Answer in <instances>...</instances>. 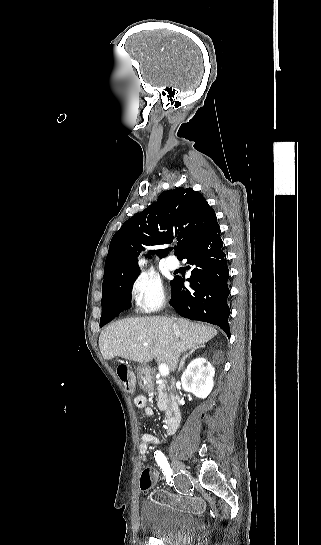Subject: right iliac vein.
<instances>
[{
	"label": "right iliac vein",
	"instance_id": "obj_1",
	"mask_svg": "<svg viewBox=\"0 0 321 545\" xmlns=\"http://www.w3.org/2000/svg\"><path fill=\"white\" fill-rule=\"evenodd\" d=\"M172 466H173V469L176 470V471H181L183 473L186 472L185 470V467L184 465L182 464V462H180L178 459L176 458H173L172 460Z\"/></svg>",
	"mask_w": 321,
	"mask_h": 545
}]
</instances>
